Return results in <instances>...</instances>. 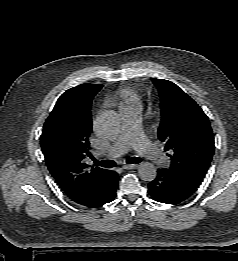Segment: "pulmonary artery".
<instances>
[{"label":"pulmonary artery","mask_w":238,"mask_h":261,"mask_svg":"<svg viewBox=\"0 0 238 261\" xmlns=\"http://www.w3.org/2000/svg\"><path fill=\"white\" fill-rule=\"evenodd\" d=\"M122 126L117 139L107 152L110 158H117L125 154L131 148L155 164H166L168 158L155 147L141 130L140 111L129 110L121 113Z\"/></svg>","instance_id":"e3ab8cb5"}]
</instances>
